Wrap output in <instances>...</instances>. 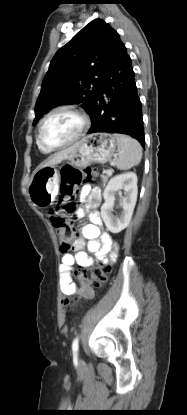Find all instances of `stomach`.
<instances>
[{
	"label": "stomach",
	"instance_id": "0dacf381",
	"mask_svg": "<svg viewBox=\"0 0 187 415\" xmlns=\"http://www.w3.org/2000/svg\"><path fill=\"white\" fill-rule=\"evenodd\" d=\"M117 147L115 137L106 132L86 136L76 145V148L65 158L74 166L84 167L90 163H106L111 160ZM58 173L56 165L46 166L36 170L28 186V195L32 203L43 208L51 205L58 193Z\"/></svg>",
	"mask_w": 187,
	"mask_h": 415
}]
</instances>
